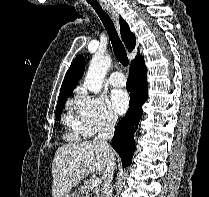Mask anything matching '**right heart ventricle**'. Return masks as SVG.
<instances>
[{"label": "right heart ventricle", "mask_w": 209, "mask_h": 197, "mask_svg": "<svg viewBox=\"0 0 209 197\" xmlns=\"http://www.w3.org/2000/svg\"><path fill=\"white\" fill-rule=\"evenodd\" d=\"M73 108V104H70L68 112L63 117V123L69 129V138L77 140L83 133L79 118L73 114Z\"/></svg>", "instance_id": "e07e8e85"}]
</instances>
